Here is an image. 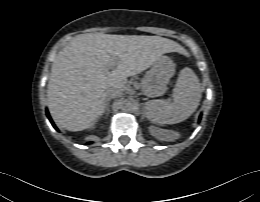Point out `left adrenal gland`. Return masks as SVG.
I'll return each mask as SVG.
<instances>
[{"mask_svg":"<svg viewBox=\"0 0 260 202\" xmlns=\"http://www.w3.org/2000/svg\"><path fill=\"white\" fill-rule=\"evenodd\" d=\"M142 117L145 118L146 117V112L144 110V107H143V110H142Z\"/></svg>","mask_w":260,"mask_h":202,"instance_id":"1","label":"left adrenal gland"}]
</instances>
